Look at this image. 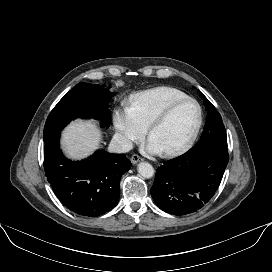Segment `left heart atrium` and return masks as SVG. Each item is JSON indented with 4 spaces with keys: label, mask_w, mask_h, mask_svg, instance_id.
Here are the masks:
<instances>
[{
    "label": "left heart atrium",
    "mask_w": 272,
    "mask_h": 272,
    "mask_svg": "<svg viewBox=\"0 0 272 272\" xmlns=\"http://www.w3.org/2000/svg\"><path fill=\"white\" fill-rule=\"evenodd\" d=\"M146 150L149 152V153H152V154H157V153H161L162 150L160 149V147L156 144V142L150 138L149 141L147 142L146 144Z\"/></svg>",
    "instance_id": "obj_1"
}]
</instances>
